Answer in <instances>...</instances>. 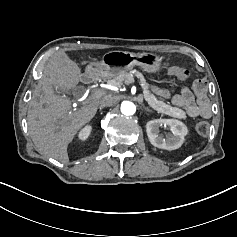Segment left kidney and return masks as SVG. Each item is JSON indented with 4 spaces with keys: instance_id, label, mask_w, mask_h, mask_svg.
I'll list each match as a JSON object with an SVG mask.
<instances>
[{
    "instance_id": "left-kidney-1",
    "label": "left kidney",
    "mask_w": 237,
    "mask_h": 237,
    "mask_svg": "<svg viewBox=\"0 0 237 237\" xmlns=\"http://www.w3.org/2000/svg\"><path fill=\"white\" fill-rule=\"evenodd\" d=\"M161 125L168 126L172 131V135L166 139L161 135L159 127ZM146 132L150 143L160 149L175 150L178 149L187 133L186 126L174 119H154L147 122Z\"/></svg>"
}]
</instances>
